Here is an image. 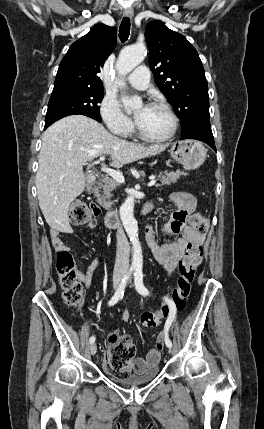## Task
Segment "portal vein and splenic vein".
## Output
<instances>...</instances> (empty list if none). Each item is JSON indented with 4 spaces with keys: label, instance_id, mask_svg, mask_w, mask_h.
<instances>
[{
    "label": "portal vein and splenic vein",
    "instance_id": "portal-vein-and-splenic-vein-1",
    "mask_svg": "<svg viewBox=\"0 0 264 429\" xmlns=\"http://www.w3.org/2000/svg\"><path fill=\"white\" fill-rule=\"evenodd\" d=\"M104 159H105V157H103V156H101L99 158V160H104ZM101 170L106 172L109 176H111L113 179H115L118 183L123 184L125 182L124 176L120 172L113 170V169H110V168H106V167H102ZM155 183H156V180L154 178H152L150 180V182L148 183V186L149 187L153 186Z\"/></svg>",
    "mask_w": 264,
    "mask_h": 429
}]
</instances>
